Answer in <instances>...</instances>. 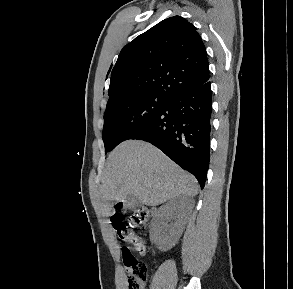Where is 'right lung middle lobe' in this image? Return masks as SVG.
I'll return each instance as SVG.
<instances>
[{
    "label": "right lung middle lobe",
    "instance_id": "dd1d6c3e",
    "mask_svg": "<svg viewBox=\"0 0 293 289\" xmlns=\"http://www.w3.org/2000/svg\"><path fill=\"white\" fill-rule=\"evenodd\" d=\"M169 98L149 93L125 98L106 107L102 138L105 151H111L119 143L158 113Z\"/></svg>",
    "mask_w": 293,
    "mask_h": 289
}]
</instances>
